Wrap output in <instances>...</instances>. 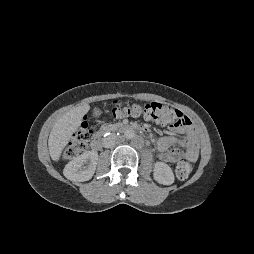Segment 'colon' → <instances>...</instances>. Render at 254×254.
Segmentation results:
<instances>
[{
	"instance_id": "colon-1",
	"label": "colon",
	"mask_w": 254,
	"mask_h": 254,
	"mask_svg": "<svg viewBox=\"0 0 254 254\" xmlns=\"http://www.w3.org/2000/svg\"><path fill=\"white\" fill-rule=\"evenodd\" d=\"M113 117H121L124 115L144 116L146 119L153 120L171 126H186L191 123L190 119L181 111L172 108L169 105L159 102H150L144 106L136 104H119L114 103L111 109ZM91 137V132L87 125L82 124L63 151L64 159H72L86 150L88 140ZM195 163L191 160H180L175 166V172L179 179H186L194 170Z\"/></svg>"
}]
</instances>
